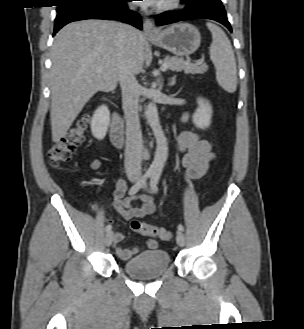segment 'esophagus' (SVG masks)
Masks as SVG:
<instances>
[{
  "instance_id": "1",
  "label": "esophagus",
  "mask_w": 304,
  "mask_h": 329,
  "mask_svg": "<svg viewBox=\"0 0 304 329\" xmlns=\"http://www.w3.org/2000/svg\"><path fill=\"white\" fill-rule=\"evenodd\" d=\"M143 31L146 36H155L158 34V30L156 29L154 23L150 19H145L143 23Z\"/></svg>"
}]
</instances>
